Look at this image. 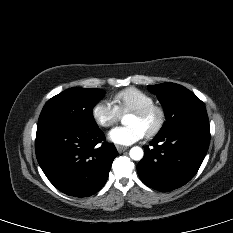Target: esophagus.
<instances>
[{
	"label": "esophagus",
	"instance_id": "esophagus-1",
	"mask_svg": "<svg viewBox=\"0 0 233 233\" xmlns=\"http://www.w3.org/2000/svg\"><path fill=\"white\" fill-rule=\"evenodd\" d=\"M116 149L119 153H122V152L126 151L128 149V147L122 146V145H116Z\"/></svg>",
	"mask_w": 233,
	"mask_h": 233
}]
</instances>
